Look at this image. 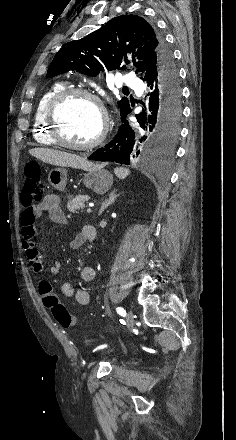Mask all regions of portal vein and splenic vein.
I'll return each instance as SVG.
<instances>
[{
    "label": "portal vein and splenic vein",
    "instance_id": "18ae733b",
    "mask_svg": "<svg viewBox=\"0 0 236 440\" xmlns=\"http://www.w3.org/2000/svg\"><path fill=\"white\" fill-rule=\"evenodd\" d=\"M87 212H88V213H91V212H92L91 207H88V208H87Z\"/></svg>",
    "mask_w": 236,
    "mask_h": 440
}]
</instances>
